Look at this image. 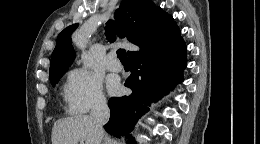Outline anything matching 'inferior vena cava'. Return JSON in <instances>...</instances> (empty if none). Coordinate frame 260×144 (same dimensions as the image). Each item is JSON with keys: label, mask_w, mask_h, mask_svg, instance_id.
Returning <instances> with one entry per match:
<instances>
[{"label": "inferior vena cava", "mask_w": 260, "mask_h": 144, "mask_svg": "<svg viewBox=\"0 0 260 144\" xmlns=\"http://www.w3.org/2000/svg\"><path fill=\"white\" fill-rule=\"evenodd\" d=\"M90 117L97 132L103 135V126L108 122L110 117L109 107L104 98L96 99L91 108Z\"/></svg>", "instance_id": "1"}]
</instances>
